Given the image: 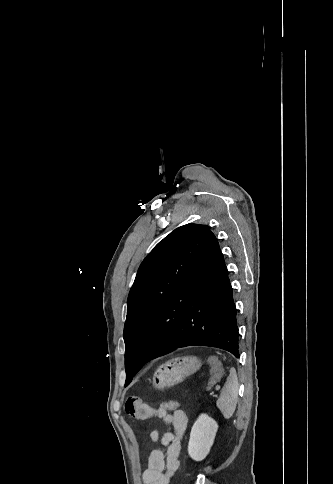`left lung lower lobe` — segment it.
Here are the masks:
<instances>
[{
  "label": "left lung lower lobe",
  "mask_w": 333,
  "mask_h": 484,
  "mask_svg": "<svg viewBox=\"0 0 333 484\" xmlns=\"http://www.w3.org/2000/svg\"><path fill=\"white\" fill-rule=\"evenodd\" d=\"M170 292L173 299H166L159 307L136 356L137 366L193 345L221 348L238 357L232 287L211 231L192 254Z\"/></svg>",
  "instance_id": "obj_1"
}]
</instances>
